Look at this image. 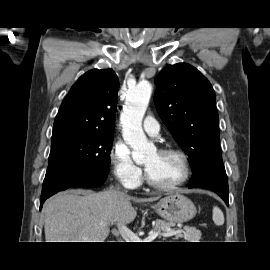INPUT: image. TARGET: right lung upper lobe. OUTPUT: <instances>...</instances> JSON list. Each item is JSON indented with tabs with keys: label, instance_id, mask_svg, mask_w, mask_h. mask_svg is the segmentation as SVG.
<instances>
[{
	"label": "right lung upper lobe",
	"instance_id": "obj_1",
	"mask_svg": "<svg viewBox=\"0 0 270 270\" xmlns=\"http://www.w3.org/2000/svg\"><path fill=\"white\" fill-rule=\"evenodd\" d=\"M119 80L112 69H93L82 75L63 100L53 131L77 129L113 132Z\"/></svg>",
	"mask_w": 270,
	"mask_h": 270
}]
</instances>
